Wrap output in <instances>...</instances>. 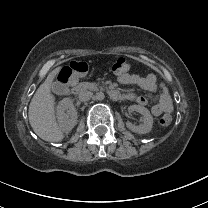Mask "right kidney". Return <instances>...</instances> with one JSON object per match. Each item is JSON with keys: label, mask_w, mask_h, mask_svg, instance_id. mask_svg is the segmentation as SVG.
<instances>
[{"label": "right kidney", "mask_w": 208, "mask_h": 208, "mask_svg": "<svg viewBox=\"0 0 208 208\" xmlns=\"http://www.w3.org/2000/svg\"><path fill=\"white\" fill-rule=\"evenodd\" d=\"M56 115L60 129L68 133L77 124V110L70 98L62 99L56 107Z\"/></svg>", "instance_id": "1"}]
</instances>
